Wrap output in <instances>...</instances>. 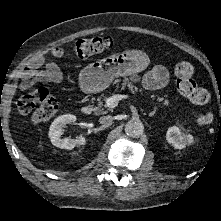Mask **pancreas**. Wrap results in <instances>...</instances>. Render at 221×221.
I'll return each mask as SVG.
<instances>
[{"mask_svg":"<svg viewBox=\"0 0 221 221\" xmlns=\"http://www.w3.org/2000/svg\"><path fill=\"white\" fill-rule=\"evenodd\" d=\"M140 80V77L137 76V75H132L131 77L129 78H125L123 81H122V89H124L126 86L131 90V91H135L137 90V87L134 86V83L138 82ZM117 83L120 82V80H117L116 81ZM107 100V97H105L104 95L100 96L98 98V106L94 107L93 108V111L95 113V115H101V114H105L108 112V110L104 109L103 108V101ZM158 102H162L164 105H168V101L167 100H164L163 98H158L157 99Z\"/></svg>","mask_w":221,"mask_h":221,"instance_id":"cf45deb5","label":"pancreas"}]
</instances>
